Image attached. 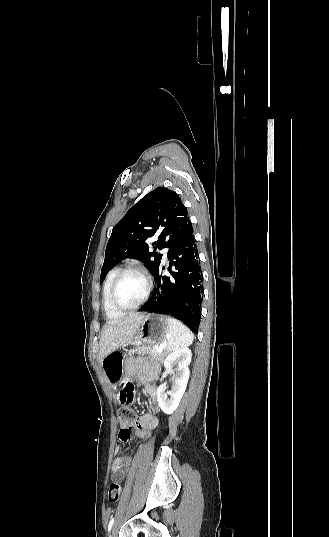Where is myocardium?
Listing matches in <instances>:
<instances>
[{
	"mask_svg": "<svg viewBox=\"0 0 329 537\" xmlns=\"http://www.w3.org/2000/svg\"><path fill=\"white\" fill-rule=\"evenodd\" d=\"M131 272L139 273L145 279L146 289H145L144 295L142 296V298L136 304H134L132 306H123L117 301V297H116L117 289H118L119 283H120L121 279L123 278V276L128 274V273H131ZM152 286H153L152 278H151L150 274L143 267L136 266V265L127 266V267L121 269L118 272L117 276L115 277V279H114V281L112 283L111 290H110V302H111V305L116 310H118L120 312H125V311H130V310L137 309L142 304H144L146 302V300L148 299V297H149V295L151 293V290H152Z\"/></svg>",
	"mask_w": 329,
	"mask_h": 537,
	"instance_id": "f54148a6",
	"label": "myocardium"
}]
</instances>
